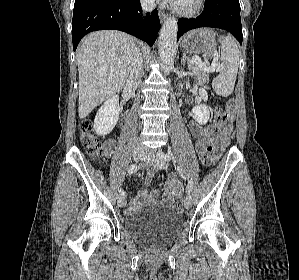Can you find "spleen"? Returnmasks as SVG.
<instances>
[{
	"label": "spleen",
	"instance_id": "spleen-1",
	"mask_svg": "<svg viewBox=\"0 0 299 280\" xmlns=\"http://www.w3.org/2000/svg\"><path fill=\"white\" fill-rule=\"evenodd\" d=\"M222 68L212 82L215 93L222 97L231 95L234 90L239 65V49L231 36H220Z\"/></svg>",
	"mask_w": 299,
	"mask_h": 280
}]
</instances>
